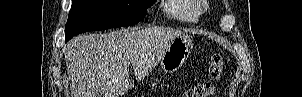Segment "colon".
Returning a JSON list of instances; mask_svg holds the SVG:
<instances>
[{"label": "colon", "instance_id": "colon-1", "mask_svg": "<svg viewBox=\"0 0 302 97\" xmlns=\"http://www.w3.org/2000/svg\"><path fill=\"white\" fill-rule=\"evenodd\" d=\"M223 56L219 53L214 54L211 57L209 65V74L211 76V81L195 86L186 92V97H209L212 96L222 79L223 75Z\"/></svg>", "mask_w": 302, "mask_h": 97}]
</instances>
